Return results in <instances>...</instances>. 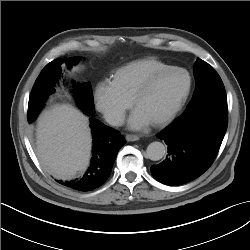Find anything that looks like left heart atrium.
Here are the masks:
<instances>
[{"mask_svg": "<svg viewBox=\"0 0 250 250\" xmlns=\"http://www.w3.org/2000/svg\"><path fill=\"white\" fill-rule=\"evenodd\" d=\"M128 124L132 129L141 130L147 128L151 124V121L136 108L131 114Z\"/></svg>", "mask_w": 250, "mask_h": 250, "instance_id": "39dd6f15", "label": "left heart atrium"}]
</instances>
